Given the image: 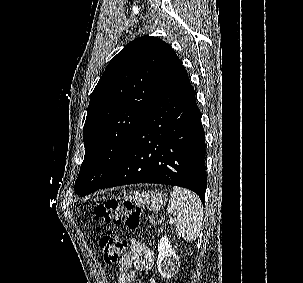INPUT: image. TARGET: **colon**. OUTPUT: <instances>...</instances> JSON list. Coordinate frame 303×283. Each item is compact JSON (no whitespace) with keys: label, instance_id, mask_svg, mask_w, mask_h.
<instances>
[{"label":"colon","instance_id":"obj_1","mask_svg":"<svg viewBox=\"0 0 303 283\" xmlns=\"http://www.w3.org/2000/svg\"><path fill=\"white\" fill-rule=\"evenodd\" d=\"M93 218L97 222L124 224L131 230L139 229L142 224L140 207L130 201L108 200L97 205L93 211ZM99 244L104 260L110 264L117 263L127 247L126 240L110 228L101 231Z\"/></svg>","mask_w":303,"mask_h":283}]
</instances>
